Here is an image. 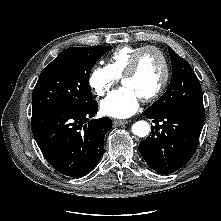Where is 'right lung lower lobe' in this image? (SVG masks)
Masks as SVG:
<instances>
[{
	"instance_id": "obj_1",
	"label": "right lung lower lobe",
	"mask_w": 221,
	"mask_h": 221,
	"mask_svg": "<svg viewBox=\"0 0 221 221\" xmlns=\"http://www.w3.org/2000/svg\"><path fill=\"white\" fill-rule=\"evenodd\" d=\"M98 104L54 107L32 113L31 129L49 164L63 175L82 177L98 163L105 134L112 128L108 117L93 119Z\"/></svg>"
}]
</instances>
